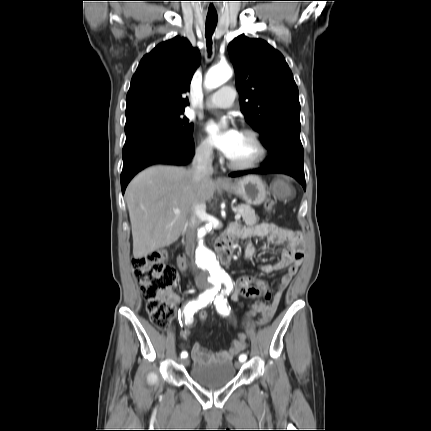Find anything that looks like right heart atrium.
Wrapping results in <instances>:
<instances>
[{
  "instance_id": "d8ad5b80",
  "label": "right heart atrium",
  "mask_w": 431,
  "mask_h": 431,
  "mask_svg": "<svg viewBox=\"0 0 431 431\" xmlns=\"http://www.w3.org/2000/svg\"><path fill=\"white\" fill-rule=\"evenodd\" d=\"M196 155L197 157L206 163H209L213 160L214 152L211 144L206 139H201L196 147Z\"/></svg>"
}]
</instances>
